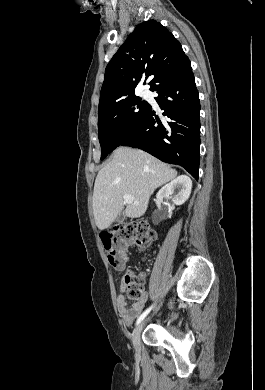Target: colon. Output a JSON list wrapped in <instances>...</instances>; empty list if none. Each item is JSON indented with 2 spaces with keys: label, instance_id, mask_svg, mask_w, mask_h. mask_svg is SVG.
I'll use <instances>...</instances> for the list:
<instances>
[{
  "label": "colon",
  "instance_id": "5ec220e1",
  "mask_svg": "<svg viewBox=\"0 0 265 390\" xmlns=\"http://www.w3.org/2000/svg\"><path fill=\"white\" fill-rule=\"evenodd\" d=\"M156 240L155 232L146 222L120 224L113 231L102 236L107 258L115 268L121 269L126 262L125 252L130 244L141 249L149 248ZM126 294L130 300L138 301L144 296V274L138 268H132L125 275Z\"/></svg>",
  "mask_w": 265,
  "mask_h": 390
}]
</instances>
